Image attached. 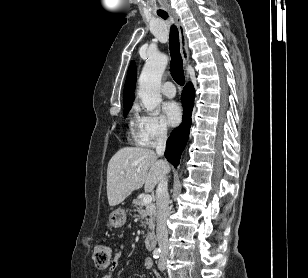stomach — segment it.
<instances>
[{
	"label": "stomach",
	"instance_id": "obj_1",
	"mask_svg": "<svg viewBox=\"0 0 308 278\" xmlns=\"http://www.w3.org/2000/svg\"><path fill=\"white\" fill-rule=\"evenodd\" d=\"M126 222V213L123 209H116L109 215V220L107 222L108 228H118L122 227Z\"/></svg>",
	"mask_w": 308,
	"mask_h": 278
}]
</instances>
